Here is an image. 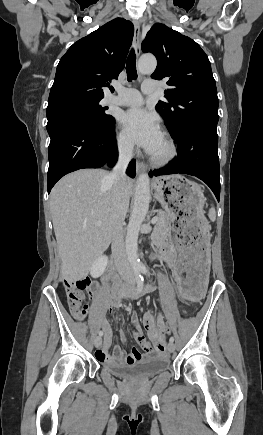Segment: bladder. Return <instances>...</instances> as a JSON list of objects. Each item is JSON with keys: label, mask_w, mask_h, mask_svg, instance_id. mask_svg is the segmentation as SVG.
Wrapping results in <instances>:
<instances>
[{"label": "bladder", "mask_w": 263, "mask_h": 435, "mask_svg": "<svg viewBox=\"0 0 263 435\" xmlns=\"http://www.w3.org/2000/svg\"><path fill=\"white\" fill-rule=\"evenodd\" d=\"M168 365L169 359L164 355L158 354L132 364L104 363L103 367L119 377L146 379L165 371Z\"/></svg>", "instance_id": "bladder-1"}]
</instances>
